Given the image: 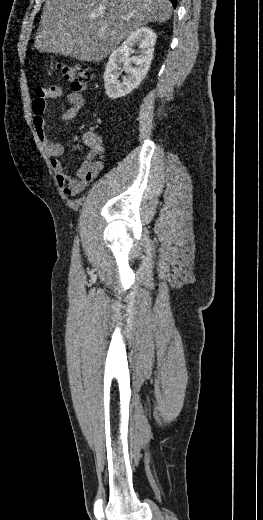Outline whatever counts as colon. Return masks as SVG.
<instances>
[{"instance_id":"1","label":"colon","mask_w":263,"mask_h":520,"mask_svg":"<svg viewBox=\"0 0 263 520\" xmlns=\"http://www.w3.org/2000/svg\"><path fill=\"white\" fill-rule=\"evenodd\" d=\"M58 68L72 90L76 92L84 91L91 81L92 71L86 64H61Z\"/></svg>"}]
</instances>
